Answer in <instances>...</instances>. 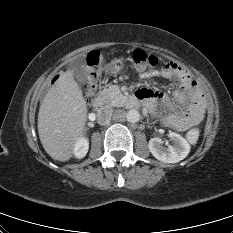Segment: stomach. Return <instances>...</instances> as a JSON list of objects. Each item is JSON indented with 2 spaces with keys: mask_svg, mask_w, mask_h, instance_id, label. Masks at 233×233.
<instances>
[{
  "mask_svg": "<svg viewBox=\"0 0 233 233\" xmlns=\"http://www.w3.org/2000/svg\"><path fill=\"white\" fill-rule=\"evenodd\" d=\"M109 67L113 72H119L124 67V61L120 58L114 59L113 61H111Z\"/></svg>",
  "mask_w": 233,
  "mask_h": 233,
  "instance_id": "obj_1",
  "label": "stomach"
}]
</instances>
